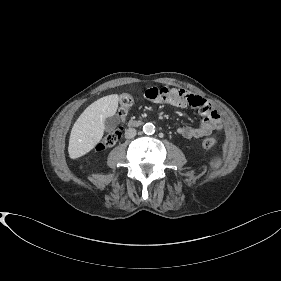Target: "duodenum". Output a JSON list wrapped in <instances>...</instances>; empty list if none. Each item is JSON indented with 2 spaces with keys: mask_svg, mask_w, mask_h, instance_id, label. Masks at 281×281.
<instances>
[{
  "mask_svg": "<svg viewBox=\"0 0 281 281\" xmlns=\"http://www.w3.org/2000/svg\"><path fill=\"white\" fill-rule=\"evenodd\" d=\"M141 121L140 120H136V119H132V120H130L129 122H128V127H138V126H140L141 125Z\"/></svg>",
  "mask_w": 281,
  "mask_h": 281,
  "instance_id": "410a0bca",
  "label": "duodenum"
}]
</instances>
